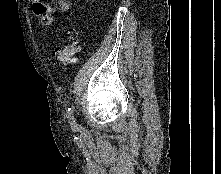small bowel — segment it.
Masks as SVG:
<instances>
[{
  "instance_id": "c3829d8e",
  "label": "small bowel",
  "mask_w": 221,
  "mask_h": 174,
  "mask_svg": "<svg viewBox=\"0 0 221 174\" xmlns=\"http://www.w3.org/2000/svg\"><path fill=\"white\" fill-rule=\"evenodd\" d=\"M33 12L39 18L41 26L47 27L53 23V8L42 0H31ZM61 11H68L70 3L68 0H53Z\"/></svg>"
}]
</instances>
